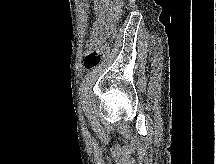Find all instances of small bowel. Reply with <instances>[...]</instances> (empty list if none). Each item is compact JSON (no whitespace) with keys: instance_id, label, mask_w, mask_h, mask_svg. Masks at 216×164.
<instances>
[{"instance_id":"small-bowel-1","label":"small bowel","mask_w":216,"mask_h":164,"mask_svg":"<svg viewBox=\"0 0 216 164\" xmlns=\"http://www.w3.org/2000/svg\"><path fill=\"white\" fill-rule=\"evenodd\" d=\"M121 2L122 0H94L95 22L88 50L98 45L102 34L115 18Z\"/></svg>"}]
</instances>
